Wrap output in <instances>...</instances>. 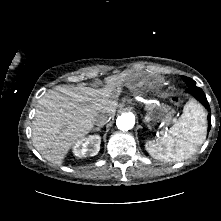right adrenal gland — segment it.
Instances as JSON below:
<instances>
[{
	"instance_id": "2a0ac1e0",
	"label": "right adrenal gland",
	"mask_w": 221,
	"mask_h": 221,
	"mask_svg": "<svg viewBox=\"0 0 221 221\" xmlns=\"http://www.w3.org/2000/svg\"><path fill=\"white\" fill-rule=\"evenodd\" d=\"M100 130H101V126L93 129V131H100Z\"/></svg>"
}]
</instances>
